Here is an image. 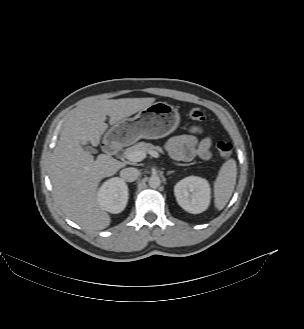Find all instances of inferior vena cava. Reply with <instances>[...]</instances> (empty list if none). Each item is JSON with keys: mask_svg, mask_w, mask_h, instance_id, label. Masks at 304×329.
I'll use <instances>...</instances> for the list:
<instances>
[{"mask_svg": "<svg viewBox=\"0 0 304 329\" xmlns=\"http://www.w3.org/2000/svg\"><path fill=\"white\" fill-rule=\"evenodd\" d=\"M140 172L138 169L129 167V168H124L120 171V177L126 182H133L137 179L139 176Z\"/></svg>", "mask_w": 304, "mask_h": 329, "instance_id": "602c4592", "label": "inferior vena cava"}]
</instances>
